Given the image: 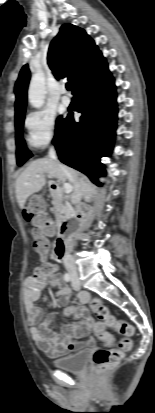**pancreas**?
Segmentation results:
<instances>
[{"label": "pancreas", "instance_id": "pancreas-1", "mask_svg": "<svg viewBox=\"0 0 155 413\" xmlns=\"http://www.w3.org/2000/svg\"><path fill=\"white\" fill-rule=\"evenodd\" d=\"M53 211L55 213L56 221L61 222L62 219L70 215V207L64 202L62 189L51 193Z\"/></svg>", "mask_w": 155, "mask_h": 413}]
</instances>
